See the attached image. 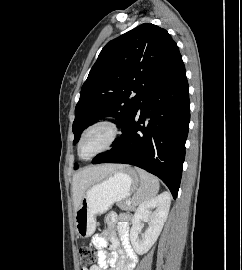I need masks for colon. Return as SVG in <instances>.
<instances>
[{"instance_id":"obj_1","label":"colon","mask_w":242,"mask_h":270,"mask_svg":"<svg viewBox=\"0 0 242 270\" xmlns=\"http://www.w3.org/2000/svg\"><path fill=\"white\" fill-rule=\"evenodd\" d=\"M79 255L80 263L83 267L93 265L98 259L97 251L92 246L88 245L80 247Z\"/></svg>"}]
</instances>
